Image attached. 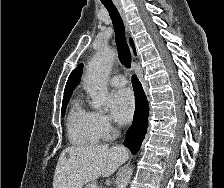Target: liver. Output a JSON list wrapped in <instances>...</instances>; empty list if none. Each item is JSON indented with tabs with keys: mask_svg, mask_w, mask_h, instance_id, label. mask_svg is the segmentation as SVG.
<instances>
[{
	"mask_svg": "<svg viewBox=\"0 0 224 188\" xmlns=\"http://www.w3.org/2000/svg\"><path fill=\"white\" fill-rule=\"evenodd\" d=\"M129 157L126 148L107 145L71 146L58 159L53 188H82L98 177H109Z\"/></svg>",
	"mask_w": 224,
	"mask_h": 188,
	"instance_id": "6515ba94",
	"label": "liver"
}]
</instances>
